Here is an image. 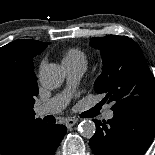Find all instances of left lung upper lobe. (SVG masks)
Wrapping results in <instances>:
<instances>
[{
    "mask_svg": "<svg viewBox=\"0 0 155 155\" xmlns=\"http://www.w3.org/2000/svg\"><path fill=\"white\" fill-rule=\"evenodd\" d=\"M100 49L103 71L94 84L103 102L113 104V112L138 106H155V78L139 45L127 36L92 38Z\"/></svg>",
    "mask_w": 155,
    "mask_h": 155,
    "instance_id": "1",
    "label": "left lung upper lobe"
}]
</instances>
